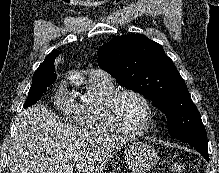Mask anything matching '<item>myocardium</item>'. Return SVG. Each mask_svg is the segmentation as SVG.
<instances>
[{
  "label": "myocardium",
  "mask_w": 219,
  "mask_h": 173,
  "mask_svg": "<svg viewBox=\"0 0 219 173\" xmlns=\"http://www.w3.org/2000/svg\"><path fill=\"white\" fill-rule=\"evenodd\" d=\"M125 95H132L139 98L147 109V119L145 125L138 131L126 130L120 125L118 121L116 108L119 100ZM104 113L109 125L114 129V131L122 136L129 138H137L147 134L152 128L155 117L154 106L149 98L140 91L129 88L116 90L112 95H110L104 103Z\"/></svg>",
  "instance_id": "obj_1"
}]
</instances>
